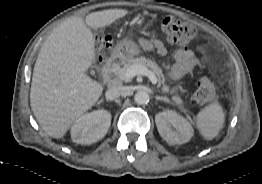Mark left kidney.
<instances>
[{
	"mask_svg": "<svg viewBox=\"0 0 262 184\" xmlns=\"http://www.w3.org/2000/svg\"><path fill=\"white\" fill-rule=\"evenodd\" d=\"M155 122L160 136L171 145L184 144L194 134L190 122L172 110L156 114Z\"/></svg>",
	"mask_w": 262,
	"mask_h": 184,
	"instance_id": "obj_1",
	"label": "left kidney"
}]
</instances>
